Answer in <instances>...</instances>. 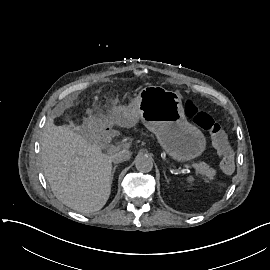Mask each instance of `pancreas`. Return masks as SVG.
Returning <instances> with one entry per match:
<instances>
[{
	"instance_id": "cf45deb5",
	"label": "pancreas",
	"mask_w": 270,
	"mask_h": 270,
	"mask_svg": "<svg viewBox=\"0 0 270 270\" xmlns=\"http://www.w3.org/2000/svg\"><path fill=\"white\" fill-rule=\"evenodd\" d=\"M192 166L196 169L197 174L204 175L208 177L209 180H212L216 174V170L211 168L205 162L193 163ZM206 182H208V180H206Z\"/></svg>"
}]
</instances>
